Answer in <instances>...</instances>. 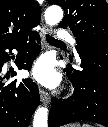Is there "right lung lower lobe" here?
I'll return each instance as SVG.
<instances>
[{
    "mask_svg": "<svg viewBox=\"0 0 108 127\" xmlns=\"http://www.w3.org/2000/svg\"><path fill=\"white\" fill-rule=\"evenodd\" d=\"M35 40H40L39 34L31 31L17 41L0 44V127H27L40 103L38 87L30 79L9 80L1 74L3 63L10 60L7 49L22 51L16 66L29 71L41 49Z\"/></svg>",
    "mask_w": 108,
    "mask_h": 127,
    "instance_id": "right-lung-lower-lobe-1",
    "label": "right lung lower lobe"
}]
</instances>
